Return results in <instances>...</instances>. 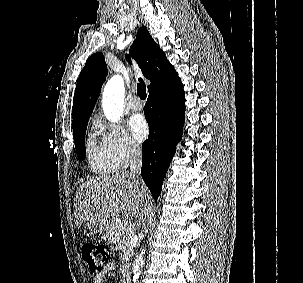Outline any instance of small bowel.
I'll use <instances>...</instances> for the list:
<instances>
[{
	"label": "small bowel",
	"mask_w": 303,
	"mask_h": 283,
	"mask_svg": "<svg viewBox=\"0 0 303 283\" xmlns=\"http://www.w3.org/2000/svg\"><path fill=\"white\" fill-rule=\"evenodd\" d=\"M114 269V265L113 263H109L107 264L102 271H100L99 273H97L94 278H93V283H102L104 281L105 276L107 275V273H109L110 271H112Z\"/></svg>",
	"instance_id": "1"
}]
</instances>
